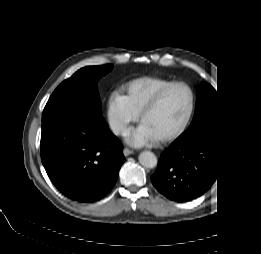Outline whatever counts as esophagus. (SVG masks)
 <instances>
[{"mask_svg": "<svg viewBox=\"0 0 261 254\" xmlns=\"http://www.w3.org/2000/svg\"><path fill=\"white\" fill-rule=\"evenodd\" d=\"M134 152L128 148H124L123 149V154L124 156H129V155H132Z\"/></svg>", "mask_w": 261, "mask_h": 254, "instance_id": "esophagus-1", "label": "esophagus"}]
</instances>
